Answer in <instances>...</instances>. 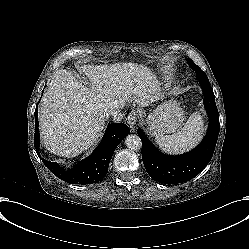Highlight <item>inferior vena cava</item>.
<instances>
[{
    "mask_svg": "<svg viewBox=\"0 0 249 249\" xmlns=\"http://www.w3.org/2000/svg\"><path fill=\"white\" fill-rule=\"evenodd\" d=\"M122 109L123 108L117 104H111L107 110V117L114 122H120L124 117Z\"/></svg>",
    "mask_w": 249,
    "mask_h": 249,
    "instance_id": "inferior-vena-cava-1",
    "label": "inferior vena cava"
}]
</instances>
